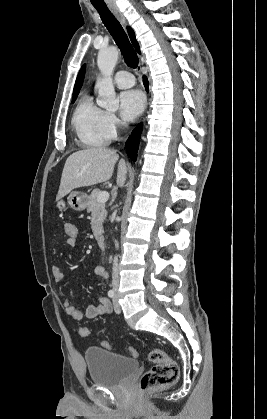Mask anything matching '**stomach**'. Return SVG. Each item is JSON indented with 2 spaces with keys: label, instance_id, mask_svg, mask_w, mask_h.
<instances>
[{
  "label": "stomach",
  "instance_id": "obj_1",
  "mask_svg": "<svg viewBox=\"0 0 267 419\" xmlns=\"http://www.w3.org/2000/svg\"><path fill=\"white\" fill-rule=\"evenodd\" d=\"M88 195L83 192L73 191L67 197L68 205L76 211H82L87 207ZM56 208L63 212L67 209L66 203L63 199H59L56 202Z\"/></svg>",
  "mask_w": 267,
  "mask_h": 419
}]
</instances>
